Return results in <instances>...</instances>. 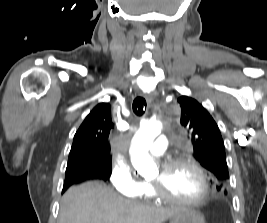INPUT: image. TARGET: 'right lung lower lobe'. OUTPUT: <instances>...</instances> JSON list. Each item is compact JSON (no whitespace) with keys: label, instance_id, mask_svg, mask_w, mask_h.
I'll list each match as a JSON object with an SVG mask.
<instances>
[{"label":"right lung lower lobe","instance_id":"right-lung-lower-lobe-1","mask_svg":"<svg viewBox=\"0 0 267 223\" xmlns=\"http://www.w3.org/2000/svg\"><path fill=\"white\" fill-rule=\"evenodd\" d=\"M86 179H102V180H104V177L98 171H89V170L73 171V172L65 175L63 192L72 184L84 181Z\"/></svg>","mask_w":267,"mask_h":223}]
</instances>
